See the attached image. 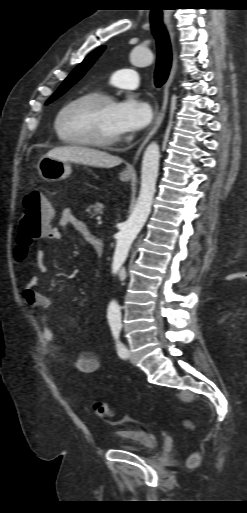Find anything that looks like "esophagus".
Wrapping results in <instances>:
<instances>
[{
  "label": "esophagus",
  "mask_w": 247,
  "mask_h": 513,
  "mask_svg": "<svg viewBox=\"0 0 247 513\" xmlns=\"http://www.w3.org/2000/svg\"><path fill=\"white\" fill-rule=\"evenodd\" d=\"M165 25L169 31L171 41L174 46L175 32H174L173 24L170 20H165ZM176 67H177V57H176V52L174 51L172 69H171L170 75L168 77V80L166 81V83L164 84V87H163L161 106L159 108V106L156 104L154 107V117H153V121L149 127V131H148L145 139L141 143L139 149L137 150L133 163L126 169V173L129 175L135 174V164H136L137 160L139 159L141 152L143 151V149H144L145 145L148 143V141L153 137V135L157 132V130L161 126V123L164 119V115H165V112L167 109L168 101H169V86H170V84L173 80L174 74L176 72Z\"/></svg>",
  "instance_id": "esophagus-1"
}]
</instances>
